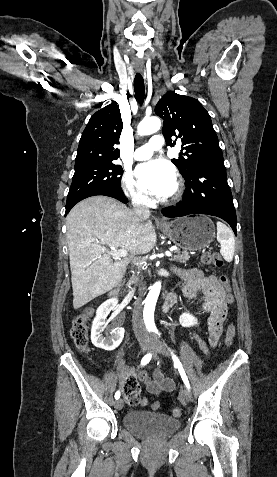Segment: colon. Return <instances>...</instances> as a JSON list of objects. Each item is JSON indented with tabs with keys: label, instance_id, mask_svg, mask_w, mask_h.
I'll use <instances>...</instances> for the list:
<instances>
[{
	"label": "colon",
	"instance_id": "obj_1",
	"mask_svg": "<svg viewBox=\"0 0 277 477\" xmlns=\"http://www.w3.org/2000/svg\"><path fill=\"white\" fill-rule=\"evenodd\" d=\"M201 261L206 268H213L214 266L221 267L223 265V260L218 253L205 252L201 256ZM219 281L224 286V291L226 292V298L228 299L227 305L233 306L235 293L233 292V289L229 285L228 277L222 274L219 276ZM91 315H92V308L90 307L84 308L82 312L73 320V324L71 328V337L74 341V344L78 350L83 352H86L89 350L87 321ZM234 333H235L234 327L230 325L226 333L227 344L231 343ZM123 392L126 395L128 402L131 405H138L142 402V398L140 397V387L136 384V382L132 380H127L123 386ZM159 407H160V403L158 401L152 402L151 408L153 410H157L159 409ZM172 413L174 416H180L182 414V409L179 407H175L172 410Z\"/></svg>",
	"mask_w": 277,
	"mask_h": 477
}]
</instances>
